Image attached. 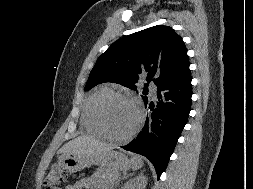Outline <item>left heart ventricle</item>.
<instances>
[{
  "label": "left heart ventricle",
  "instance_id": "1",
  "mask_svg": "<svg viewBox=\"0 0 253 189\" xmlns=\"http://www.w3.org/2000/svg\"><path fill=\"white\" fill-rule=\"evenodd\" d=\"M103 118L108 130L113 135L124 136L135 126L137 111L126 102L112 100L105 105Z\"/></svg>",
  "mask_w": 253,
  "mask_h": 189
}]
</instances>
